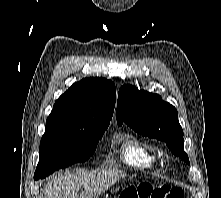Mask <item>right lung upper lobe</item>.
<instances>
[{
    "instance_id": "cb5924a9",
    "label": "right lung upper lobe",
    "mask_w": 221,
    "mask_h": 198,
    "mask_svg": "<svg viewBox=\"0 0 221 198\" xmlns=\"http://www.w3.org/2000/svg\"><path fill=\"white\" fill-rule=\"evenodd\" d=\"M115 101L112 81L98 77L82 79L56 100L45 132L86 133L108 127Z\"/></svg>"
}]
</instances>
